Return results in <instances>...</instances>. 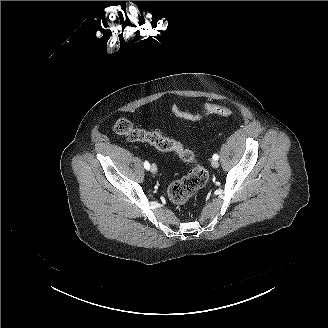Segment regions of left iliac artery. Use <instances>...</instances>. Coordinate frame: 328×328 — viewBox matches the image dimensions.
Returning a JSON list of instances; mask_svg holds the SVG:
<instances>
[{"label":"left iliac artery","mask_w":328,"mask_h":328,"mask_svg":"<svg viewBox=\"0 0 328 328\" xmlns=\"http://www.w3.org/2000/svg\"><path fill=\"white\" fill-rule=\"evenodd\" d=\"M218 158H219V156H218L217 154H214V155H213V159H214V160H218Z\"/></svg>","instance_id":"1"}]
</instances>
